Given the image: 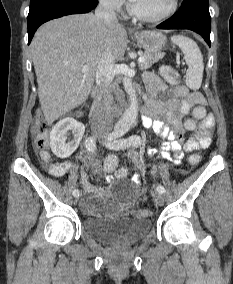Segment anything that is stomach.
I'll use <instances>...</instances> for the list:
<instances>
[{
	"label": "stomach",
	"instance_id": "obj_1",
	"mask_svg": "<svg viewBox=\"0 0 233 284\" xmlns=\"http://www.w3.org/2000/svg\"><path fill=\"white\" fill-rule=\"evenodd\" d=\"M137 43L147 52L158 53L165 49L166 36L155 30H142L134 34Z\"/></svg>",
	"mask_w": 233,
	"mask_h": 284
}]
</instances>
